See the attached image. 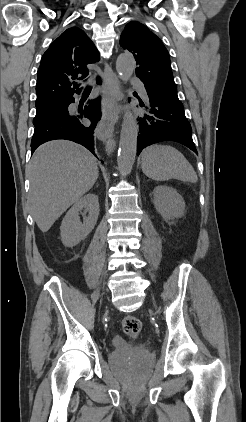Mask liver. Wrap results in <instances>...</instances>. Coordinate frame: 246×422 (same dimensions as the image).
I'll list each match as a JSON object with an SVG mask.
<instances>
[{"mask_svg": "<svg viewBox=\"0 0 246 422\" xmlns=\"http://www.w3.org/2000/svg\"><path fill=\"white\" fill-rule=\"evenodd\" d=\"M28 202L32 216L42 232L95 184L96 158L71 141L55 140L41 145L28 166Z\"/></svg>", "mask_w": 246, "mask_h": 422, "instance_id": "6515ba94", "label": "liver"}]
</instances>
